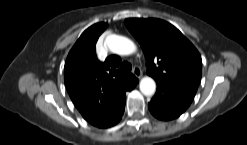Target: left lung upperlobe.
Returning <instances> with one entry per match:
<instances>
[{"mask_svg": "<svg viewBox=\"0 0 247 145\" xmlns=\"http://www.w3.org/2000/svg\"><path fill=\"white\" fill-rule=\"evenodd\" d=\"M125 25L144 51L148 75L157 83L194 97L201 80L202 60L192 43L176 27L160 19L129 18Z\"/></svg>", "mask_w": 247, "mask_h": 145, "instance_id": "1", "label": "left lung upper lobe"}]
</instances>
